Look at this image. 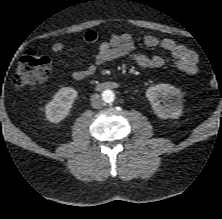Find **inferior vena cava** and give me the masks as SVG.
Returning <instances> with one entry per match:
<instances>
[{
  "instance_id": "inferior-vena-cava-1",
  "label": "inferior vena cava",
  "mask_w": 222,
  "mask_h": 219,
  "mask_svg": "<svg viewBox=\"0 0 222 219\" xmlns=\"http://www.w3.org/2000/svg\"><path fill=\"white\" fill-rule=\"evenodd\" d=\"M91 105L93 108H96V109L103 107L104 102L99 94H94L91 96Z\"/></svg>"
}]
</instances>
